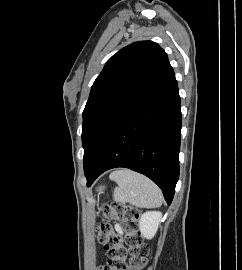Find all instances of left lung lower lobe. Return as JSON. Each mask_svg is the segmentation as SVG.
<instances>
[{"label": "left lung lower lobe", "instance_id": "left-lung-lower-lobe-1", "mask_svg": "<svg viewBox=\"0 0 242 270\" xmlns=\"http://www.w3.org/2000/svg\"><path fill=\"white\" fill-rule=\"evenodd\" d=\"M180 132V97L171 69L106 138L85 171L87 186L104 171L125 167L153 180L171 204L179 178Z\"/></svg>", "mask_w": 242, "mask_h": 270}]
</instances>
